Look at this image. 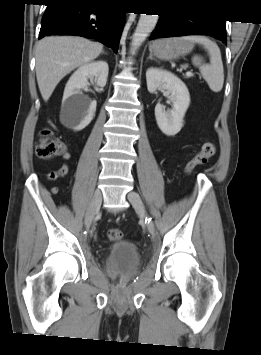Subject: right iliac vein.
<instances>
[{"mask_svg":"<svg viewBox=\"0 0 261 355\" xmlns=\"http://www.w3.org/2000/svg\"><path fill=\"white\" fill-rule=\"evenodd\" d=\"M101 202H102V193L99 189H96L92 201L90 203L89 209L85 216V221H84L85 228H89L91 226L94 217L99 212Z\"/></svg>","mask_w":261,"mask_h":355,"instance_id":"63e3f726","label":"right iliac vein"}]
</instances>
